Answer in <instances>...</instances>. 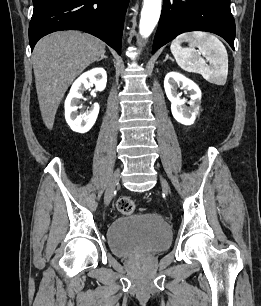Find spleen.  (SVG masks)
Masks as SVG:
<instances>
[{"label":"spleen","instance_id":"spleen-1","mask_svg":"<svg viewBox=\"0 0 261 306\" xmlns=\"http://www.w3.org/2000/svg\"><path fill=\"white\" fill-rule=\"evenodd\" d=\"M183 42H187L189 47H181ZM170 49L177 64L183 70L199 73L208 82L216 85L226 83L228 54L216 36L202 31L186 32L173 40ZM206 61L209 62V66L206 65Z\"/></svg>","mask_w":261,"mask_h":306}]
</instances>
